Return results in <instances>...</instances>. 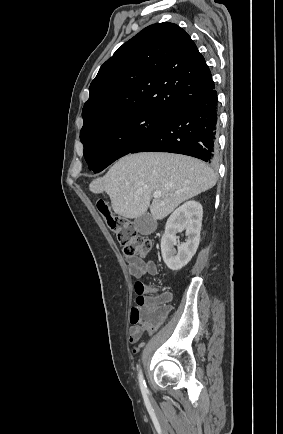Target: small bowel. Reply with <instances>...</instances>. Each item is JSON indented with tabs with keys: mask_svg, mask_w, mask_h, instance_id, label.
I'll return each instance as SVG.
<instances>
[{
	"mask_svg": "<svg viewBox=\"0 0 283 434\" xmlns=\"http://www.w3.org/2000/svg\"><path fill=\"white\" fill-rule=\"evenodd\" d=\"M129 272L136 278H143L157 273V264L153 260H143L138 256H127ZM144 328L138 325H133L129 329L130 343H136L141 338ZM136 352V350H134Z\"/></svg>",
	"mask_w": 283,
	"mask_h": 434,
	"instance_id": "c3829d8e",
	"label": "small bowel"
}]
</instances>
